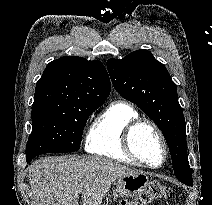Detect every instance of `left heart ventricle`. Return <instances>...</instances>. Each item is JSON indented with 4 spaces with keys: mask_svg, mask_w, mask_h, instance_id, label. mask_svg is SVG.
Here are the masks:
<instances>
[{
    "mask_svg": "<svg viewBox=\"0 0 212 205\" xmlns=\"http://www.w3.org/2000/svg\"><path fill=\"white\" fill-rule=\"evenodd\" d=\"M133 146L138 156L151 164L163 158V149L155 132L149 126H141L133 136Z\"/></svg>",
    "mask_w": 212,
    "mask_h": 205,
    "instance_id": "left-heart-ventricle-1",
    "label": "left heart ventricle"
}]
</instances>
